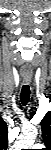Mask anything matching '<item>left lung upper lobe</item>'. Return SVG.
Masks as SVG:
<instances>
[{
  "label": "left lung upper lobe",
  "instance_id": "1",
  "mask_svg": "<svg viewBox=\"0 0 51 150\" xmlns=\"http://www.w3.org/2000/svg\"><path fill=\"white\" fill-rule=\"evenodd\" d=\"M43 140L47 147L51 146V115L45 116L41 121Z\"/></svg>",
  "mask_w": 51,
  "mask_h": 150
}]
</instances>
